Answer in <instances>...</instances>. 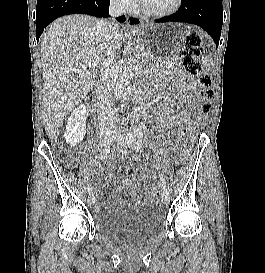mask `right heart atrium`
Wrapping results in <instances>:
<instances>
[{
  "instance_id": "d8ad5b80",
  "label": "right heart atrium",
  "mask_w": 265,
  "mask_h": 273,
  "mask_svg": "<svg viewBox=\"0 0 265 273\" xmlns=\"http://www.w3.org/2000/svg\"><path fill=\"white\" fill-rule=\"evenodd\" d=\"M111 4L117 9L129 10L134 6L135 0H111Z\"/></svg>"
}]
</instances>
